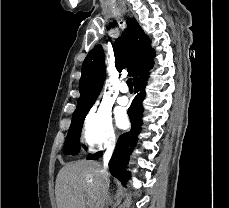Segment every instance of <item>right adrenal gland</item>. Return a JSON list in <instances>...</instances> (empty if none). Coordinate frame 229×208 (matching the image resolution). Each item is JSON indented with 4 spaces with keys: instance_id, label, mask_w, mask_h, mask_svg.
Returning a JSON list of instances; mask_svg holds the SVG:
<instances>
[{
    "instance_id": "1",
    "label": "right adrenal gland",
    "mask_w": 229,
    "mask_h": 208,
    "mask_svg": "<svg viewBox=\"0 0 229 208\" xmlns=\"http://www.w3.org/2000/svg\"><path fill=\"white\" fill-rule=\"evenodd\" d=\"M105 200H106V202H105L106 206H108V204H110V202H112V196H111V194H109V192H107V196H106Z\"/></svg>"
}]
</instances>
